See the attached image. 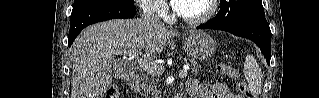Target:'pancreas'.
<instances>
[{"mask_svg":"<svg viewBox=\"0 0 319 98\" xmlns=\"http://www.w3.org/2000/svg\"><path fill=\"white\" fill-rule=\"evenodd\" d=\"M188 65L190 66V72L197 74L198 69L201 68V65L195 60H189ZM160 72L158 74L146 73L142 76L141 84L138 87V90L145 98H149L150 94H155L158 92V83L156 78L162 74V67L159 66Z\"/></svg>","mask_w":319,"mask_h":98,"instance_id":"cf45deb5","label":"pancreas"}]
</instances>
